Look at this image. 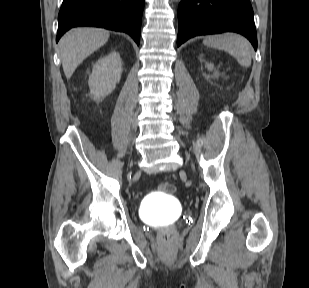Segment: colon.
I'll use <instances>...</instances> for the list:
<instances>
[{"mask_svg":"<svg viewBox=\"0 0 309 288\" xmlns=\"http://www.w3.org/2000/svg\"><path fill=\"white\" fill-rule=\"evenodd\" d=\"M161 189L164 193L169 194H172L175 191L174 185L167 182L161 184ZM161 237L163 240L167 241L173 237V232L171 230H165L162 232Z\"/></svg>","mask_w":309,"mask_h":288,"instance_id":"obj_1","label":"colon"}]
</instances>
